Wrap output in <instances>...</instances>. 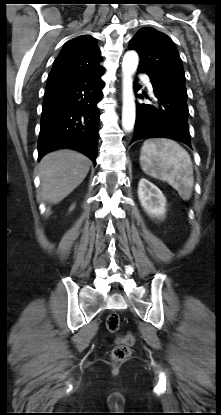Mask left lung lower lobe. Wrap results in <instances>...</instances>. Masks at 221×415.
Wrapping results in <instances>:
<instances>
[{
  "mask_svg": "<svg viewBox=\"0 0 221 415\" xmlns=\"http://www.w3.org/2000/svg\"><path fill=\"white\" fill-rule=\"evenodd\" d=\"M154 105L136 103L137 114L131 143L140 139L170 138L191 147L187 95L153 85ZM136 92L139 90L135 82ZM149 98L147 92L137 95Z\"/></svg>",
  "mask_w": 221,
  "mask_h": 415,
  "instance_id": "left-lung-lower-lobe-1",
  "label": "left lung lower lobe"
}]
</instances>
